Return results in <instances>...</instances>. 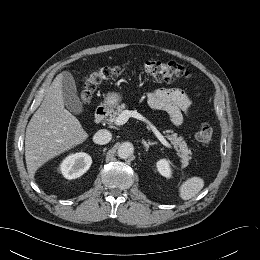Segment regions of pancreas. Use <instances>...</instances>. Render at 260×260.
<instances>
[{"mask_svg": "<svg viewBox=\"0 0 260 260\" xmlns=\"http://www.w3.org/2000/svg\"><path fill=\"white\" fill-rule=\"evenodd\" d=\"M126 109V105L123 103L116 107V110L112 112L110 117L106 120L108 124L115 123L116 118ZM168 140L173 144L174 148L177 150V155L181 158V167L186 168L189 164L191 157V150L188 148L186 142L181 136H178L173 130L164 131Z\"/></svg>", "mask_w": 260, "mask_h": 260, "instance_id": "obj_1", "label": "pancreas"}]
</instances>
